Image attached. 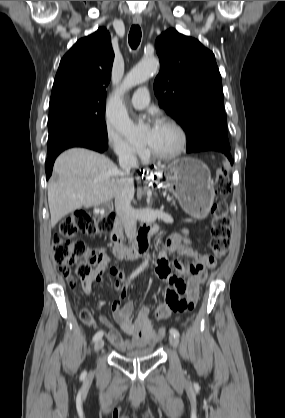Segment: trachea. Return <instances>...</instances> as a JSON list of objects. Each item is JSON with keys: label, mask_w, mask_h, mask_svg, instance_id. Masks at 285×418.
Here are the masks:
<instances>
[{"label": "trachea", "mask_w": 285, "mask_h": 418, "mask_svg": "<svg viewBox=\"0 0 285 418\" xmlns=\"http://www.w3.org/2000/svg\"><path fill=\"white\" fill-rule=\"evenodd\" d=\"M141 29L139 27V25H134L131 27L130 32H129V45L131 46V48L135 49L138 47V45L140 44L141 41Z\"/></svg>", "instance_id": "trachea-1"}]
</instances>
